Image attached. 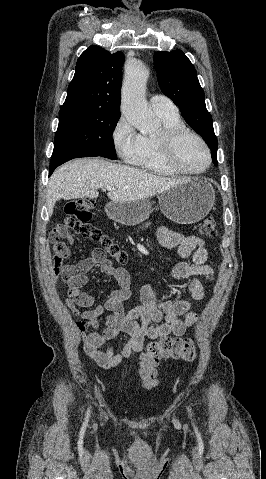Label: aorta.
I'll use <instances>...</instances> for the list:
<instances>
[{"instance_id":"obj_1","label":"aorta","mask_w":266,"mask_h":479,"mask_svg":"<svg viewBox=\"0 0 266 479\" xmlns=\"http://www.w3.org/2000/svg\"><path fill=\"white\" fill-rule=\"evenodd\" d=\"M147 78L148 70L141 61L132 60L126 66L121 111L127 121L142 133L155 132L160 126L145 98Z\"/></svg>"}]
</instances>
